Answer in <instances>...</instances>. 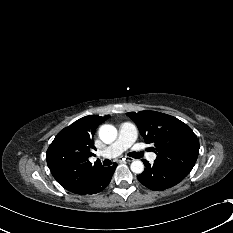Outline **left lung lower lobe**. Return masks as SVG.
Instances as JSON below:
<instances>
[{"label": "left lung lower lobe", "mask_w": 233, "mask_h": 233, "mask_svg": "<svg viewBox=\"0 0 233 233\" xmlns=\"http://www.w3.org/2000/svg\"><path fill=\"white\" fill-rule=\"evenodd\" d=\"M143 162L145 170L137 176V179L151 190L161 191L171 188L186 177L181 172L156 160L153 164L146 160Z\"/></svg>", "instance_id": "0a47b994"}]
</instances>
